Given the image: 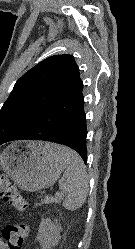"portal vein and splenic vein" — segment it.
Segmentation results:
<instances>
[{
	"instance_id": "1",
	"label": "portal vein and splenic vein",
	"mask_w": 135,
	"mask_h": 249,
	"mask_svg": "<svg viewBox=\"0 0 135 249\" xmlns=\"http://www.w3.org/2000/svg\"><path fill=\"white\" fill-rule=\"evenodd\" d=\"M56 195H57V196H61V195H62V193H60V192H57V193H56Z\"/></svg>"
}]
</instances>
